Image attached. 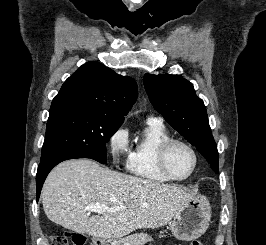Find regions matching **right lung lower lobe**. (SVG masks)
Segmentation results:
<instances>
[{
    "mask_svg": "<svg viewBox=\"0 0 266 245\" xmlns=\"http://www.w3.org/2000/svg\"><path fill=\"white\" fill-rule=\"evenodd\" d=\"M82 158L75 155L70 154H62L50 157L46 160L40 162L37 176H36V186H37V201L40 196V192L43 186V183L48 175V173L60 162L68 159Z\"/></svg>",
    "mask_w": 266,
    "mask_h": 245,
    "instance_id": "1",
    "label": "right lung lower lobe"
}]
</instances>
